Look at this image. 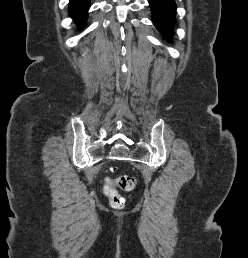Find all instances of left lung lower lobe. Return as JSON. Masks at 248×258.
I'll return each instance as SVG.
<instances>
[{
    "label": "left lung lower lobe",
    "mask_w": 248,
    "mask_h": 258,
    "mask_svg": "<svg viewBox=\"0 0 248 258\" xmlns=\"http://www.w3.org/2000/svg\"><path fill=\"white\" fill-rule=\"evenodd\" d=\"M153 22L163 33H170V27L175 22L176 4L174 0H148Z\"/></svg>",
    "instance_id": "left-lung-lower-lobe-1"
}]
</instances>
